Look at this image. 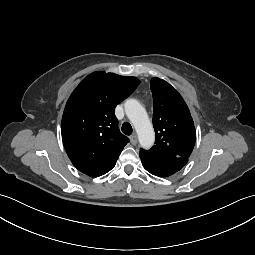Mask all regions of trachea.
<instances>
[{"label":"trachea","instance_id":"1","mask_svg":"<svg viewBox=\"0 0 255 255\" xmlns=\"http://www.w3.org/2000/svg\"><path fill=\"white\" fill-rule=\"evenodd\" d=\"M121 129H122V132L126 135H131L132 134V126L128 122L123 123Z\"/></svg>","mask_w":255,"mask_h":255}]
</instances>
